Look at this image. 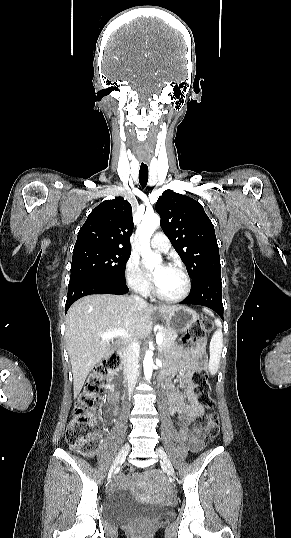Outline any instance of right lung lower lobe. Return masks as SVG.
Masks as SVG:
<instances>
[{
	"instance_id": "right-lung-lower-lobe-1",
	"label": "right lung lower lobe",
	"mask_w": 291,
	"mask_h": 538,
	"mask_svg": "<svg viewBox=\"0 0 291 538\" xmlns=\"http://www.w3.org/2000/svg\"><path fill=\"white\" fill-rule=\"evenodd\" d=\"M128 292L126 283L97 278H78L69 282L65 312L79 298L91 294H116Z\"/></svg>"
}]
</instances>
